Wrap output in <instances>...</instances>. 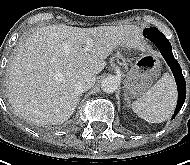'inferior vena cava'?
I'll use <instances>...</instances> for the list:
<instances>
[{
  "label": "inferior vena cava",
  "mask_w": 190,
  "mask_h": 165,
  "mask_svg": "<svg viewBox=\"0 0 190 165\" xmlns=\"http://www.w3.org/2000/svg\"><path fill=\"white\" fill-rule=\"evenodd\" d=\"M96 81V77L92 73H85L77 76L75 80V90L78 94H81L89 90Z\"/></svg>",
  "instance_id": "inferior-vena-cava-1"
}]
</instances>
